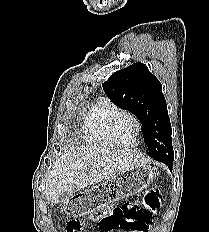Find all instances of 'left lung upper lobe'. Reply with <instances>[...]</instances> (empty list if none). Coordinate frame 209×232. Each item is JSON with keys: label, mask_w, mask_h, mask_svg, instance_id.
<instances>
[{"label": "left lung upper lobe", "mask_w": 209, "mask_h": 232, "mask_svg": "<svg viewBox=\"0 0 209 232\" xmlns=\"http://www.w3.org/2000/svg\"><path fill=\"white\" fill-rule=\"evenodd\" d=\"M102 86L116 106L140 120L149 156L171 168L172 130L160 81L139 62L115 72Z\"/></svg>", "instance_id": "1"}]
</instances>
